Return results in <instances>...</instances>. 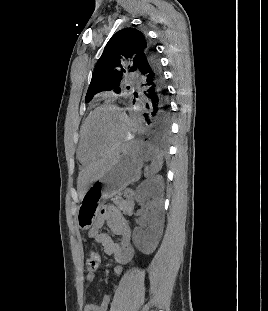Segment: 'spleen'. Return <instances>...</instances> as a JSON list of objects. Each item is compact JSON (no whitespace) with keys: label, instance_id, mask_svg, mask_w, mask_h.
<instances>
[{"label":"spleen","instance_id":"1","mask_svg":"<svg viewBox=\"0 0 268 311\" xmlns=\"http://www.w3.org/2000/svg\"><path fill=\"white\" fill-rule=\"evenodd\" d=\"M147 160H151V165L145 169V177L150 178L158 173L163 165L162 154L152 146H147V154L145 156Z\"/></svg>","mask_w":268,"mask_h":311}]
</instances>
